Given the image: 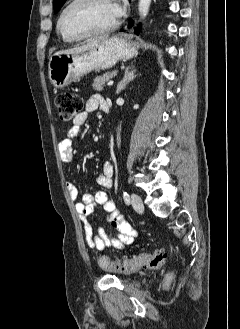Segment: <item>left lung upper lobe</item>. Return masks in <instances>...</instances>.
I'll use <instances>...</instances> for the list:
<instances>
[{
	"mask_svg": "<svg viewBox=\"0 0 240 329\" xmlns=\"http://www.w3.org/2000/svg\"><path fill=\"white\" fill-rule=\"evenodd\" d=\"M66 0H53V7L55 12H58L60 8L63 6Z\"/></svg>",
	"mask_w": 240,
	"mask_h": 329,
	"instance_id": "left-lung-upper-lobe-1",
	"label": "left lung upper lobe"
}]
</instances>
